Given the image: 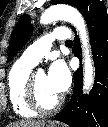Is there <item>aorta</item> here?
<instances>
[{"instance_id":"aorta-1","label":"aorta","mask_w":108,"mask_h":127,"mask_svg":"<svg viewBox=\"0 0 108 127\" xmlns=\"http://www.w3.org/2000/svg\"><path fill=\"white\" fill-rule=\"evenodd\" d=\"M57 20H64L71 23L79 34L84 58L83 89L85 92H89L94 82V66L85 21L81 13L76 8L69 5L60 4L48 8L41 15L40 23L46 25Z\"/></svg>"}]
</instances>
